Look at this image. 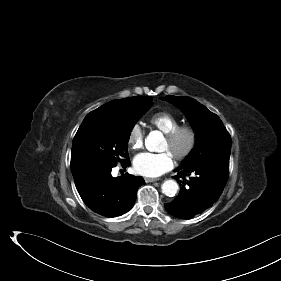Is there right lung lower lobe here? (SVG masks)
<instances>
[{
    "mask_svg": "<svg viewBox=\"0 0 281 281\" xmlns=\"http://www.w3.org/2000/svg\"><path fill=\"white\" fill-rule=\"evenodd\" d=\"M130 160L122 163L129 166ZM113 165L100 164L73 171L77 191L84 203L95 213L106 217L120 216L134 205L137 189L145 184L142 177L125 175L114 178Z\"/></svg>",
    "mask_w": 281,
    "mask_h": 281,
    "instance_id": "98d812e1",
    "label": "right lung lower lobe"
}]
</instances>
